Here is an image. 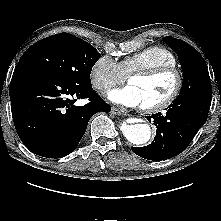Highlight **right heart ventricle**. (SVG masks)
<instances>
[{"label":"right heart ventricle","instance_id":"e07e8e85","mask_svg":"<svg viewBox=\"0 0 221 221\" xmlns=\"http://www.w3.org/2000/svg\"><path fill=\"white\" fill-rule=\"evenodd\" d=\"M121 70L127 76L133 71L149 69L158 66H176L175 55L162 46H150L144 48L126 58L119 63Z\"/></svg>","mask_w":221,"mask_h":221}]
</instances>
